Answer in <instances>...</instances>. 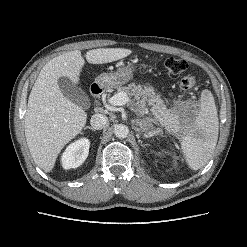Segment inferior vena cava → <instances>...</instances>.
Masks as SVG:
<instances>
[{
	"label": "inferior vena cava",
	"mask_w": 247,
	"mask_h": 247,
	"mask_svg": "<svg viewBox=\"0 0 247 247\" xmlns=\"http://www.w3.org/2000/svg\"><path fill=\"white\" fill-rule=\"evenodd\" d=\"M107 117L103 114H94L91 119H90V124L91 127H93L94 129H102L105 127V125L107 124Z\"/></svg>",
	"instance_id": "1"
}]
</instances>
